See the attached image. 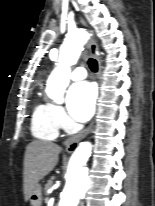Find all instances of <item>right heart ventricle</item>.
I'll use <instances>...</instances> for the list:
<instances>
[{"instance_id": "1", "label": "right heart ventricle", "mask_w": 155, "mask_h": 206, "mask_svg": "<svg viewBox=\"0 0 155 206\" xmlns=\"http://www.w3.org/2000/svg\"><path fill=\"white\" fill-rule=\"evenodd\" d=\"M31 130L34 137L40 140L52 141L58 137L59 128L54 121L51 104L40 102L36 105L32 114Z\"/></svg>"}]
</instances>
